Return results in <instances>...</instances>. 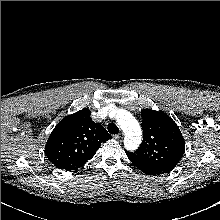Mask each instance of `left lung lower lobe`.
<instances>
[{
  "label": "left lung lower lobe",
  "instance_id": "0a47b994",
  "mask_svg": "<svg viewBox=\"0 0 220 220\" xmlns=\"http://www.w3.org/2000/svg\"><path fill=\"white\" fill-rule=\"evenodd\" d=\"M137 168H139L142 172L148 174V175H157L156 172L148 169L147 167H145L144 165L140 164V163H137V162H134L132 160H130Z\"/></svg>",
  "mask_w": 220,
  "mask_h": 220
}]
</instances>
